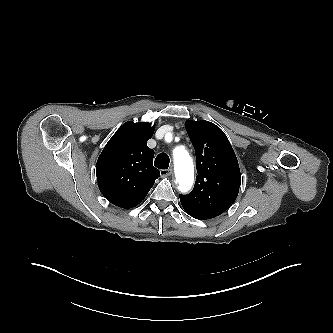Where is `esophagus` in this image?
I'll return each instance as SVG.
<instances>
[{
  "label": "esophagus",
  "instance_id": "esophagus-1",
  "mask_svg": "<svg viewBox=\"0 0 333 333\" xmlns=\"http://www.w3.org/2000/svg\"><path fill=\"white\" fill-rule=\"evenodd\" d=\"M172 173H173V169L172 168L165 169V170H160L161 177L170 176Z\"/></svg>",
  "mask_w": 333,
  "mask_h": 333
}]
</instances>
